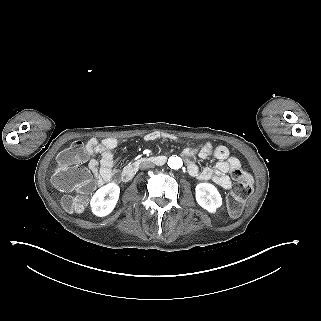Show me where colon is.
<instances>
[{"label":"colon","mask_w":321,"mask_h":321,"mask_svg":"<svg viewBox=\"0 0 321 321\" xmlns=\"http://www.w3.org/2000/svg\"><path fill=\"white\" fill-rule=\"evenodd\" d=\"M86 157L84 144L77 141L62 150L56 159L53 182L60 189L73 191L62 201L64 208L71 213L85 209L93 187L88 172L80 166ZM231 175L236 184L228 197V210L231 215L238 216L253 191L252 177L241 167L233 169Z\"/></svg>","instance_id":"5ec220e1"}]
</instances>
